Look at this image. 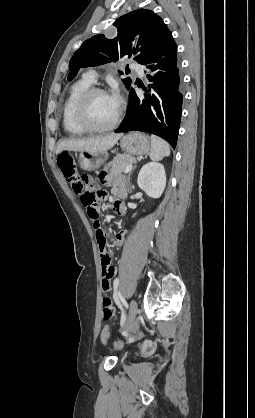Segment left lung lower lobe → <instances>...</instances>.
Returning a JSON list of instances; mask_svg holds the SVG:
<instances>
[{
    "instance_id": "0a47b994",
    "label": "left lung lower lobe",
    "mask_w": 255,
    "mask_h": 418,
    "mask_svg": "<svg viewBox=\"0 0 255 418\" xmlns=\"http://www.w3.org/2000/svg\"><path fill=\"white\" fill-rule=\"evenodd\" d=\"M144 65L151 82L144 97L129 91V107L118 132L144 131L165 139L173 148L177 144L182 114V75L173 37Z\"/></svg>"
}]
</instances>
